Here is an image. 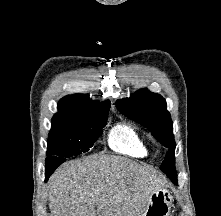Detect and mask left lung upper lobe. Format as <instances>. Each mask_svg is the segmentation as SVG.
<instances>
[{
    "label": "left lung upper lobe",
    "instance_id": "left-lung-upper-lobe-1",
    "mask_svg": "<svg viewBox=\"0 0 221 216\" xmlns=\"http://www.w3.org/2000/svg\"><path fill=\"white\" fill-rule=\"evenodd\" d=\"M116 107L128 118L145 126L160 143L169 149L161 164V170L172 182L177 183L173 123L167 111L165 99L159 94L143 89L129 98L118 99Z\"/></svg>",
    "mask_w": 221,
    "mask_h": 216
}]
</instances>
